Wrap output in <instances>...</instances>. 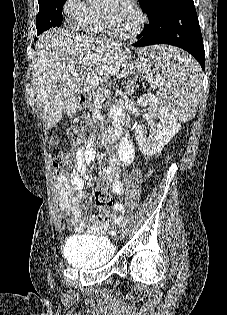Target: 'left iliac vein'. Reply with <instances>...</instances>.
<instances>
[{
	"label": "left iliac vein",
	"mask_w": 227,
	"mask_h": 315,
	"mask_svg": "<svg viewBox=\"0 0 227 315\" xmlns=\"http://www.w3.org/2000/svg\"><path fill=\"white\" fill-rule=\"evenodd\" d=\"M124 236H125V231H124V230H121V231L119 232V238L122 239Z\"/></svg>",
	"instance_id": "4c4485c4"
}]
</instances>
